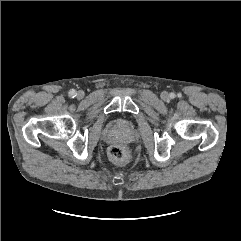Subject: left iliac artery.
<instances>
[{
	"mask_svg": "<svg viewBox=\"0 0 241 241\" xmlns=\"http://www.w3.org/2000/svg\"><path fill=\"white\" fill-rule=\"evenodd\" d=\"M171 98H174V95H171Z\"/></svg>",
	"mask_w": 241,
	"mask_h": 241,
	"instance_id": "44dca946",
	"label": "left iliac artery"
}]
</instances>
